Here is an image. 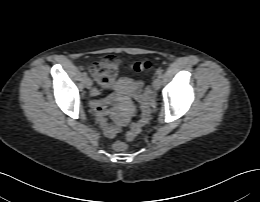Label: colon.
I'll use <instances>...</instances> for the list:
<instances>
[{"label":"colon","mask_w":260,"mask_h":202,"mask_svg":"<svg viewBox=\"0 0 260 202\" xmlns=\"http://www.w3.org/2000/svg\"><path fill=\"white\" fill-rule=\"evenodd\" d=\"M151 67L149 61L138 62L133 66L134 71L139 72ZM89 73L101 84L108 83L114 80L118 71V60L115 56L109 55L101 61L92 63L88 66ZM134 98L142 108V119L139 122L132 124L127 132L125 140H117L113 143V149L116 152H125L128 149L127 142L133 140L139 135L143 125L150 117L151 109L148 100L143 93V84L138 83L135 87Z\"/></svg>","instance_id":"5ec220e1"}]
</instances>
